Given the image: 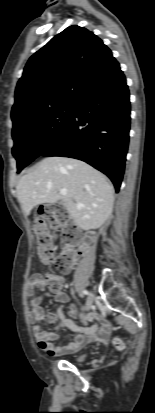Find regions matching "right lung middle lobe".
<instances>
[{"label": "right lung middle lobe", "instance_id": "1", "mask_svg": "<svg viewBox=\"0 0 155 413\" xmlns=\"http://www.w3.org/2000/svg\"><path fill=\"white\" fill-rule=\"evenodd\" d=\"M75 103L53 108L12 130L14 147L12 154L17 160V173L54 143L68 124Z\"/></svg>", "mask_w": 155, "mask_h": 413}]
</instances>
